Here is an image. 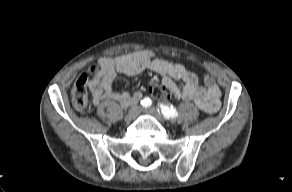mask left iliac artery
I'll return each mask as SVG.
<instances>
[{
	"instance_id": "left-iliac-artery-1",
	"label": "left iliac artery",
	"mask_w": 292,
	"mask_h": 192,
	"mask_svg": "<svg viewBox=\"0 0 292 192\" xmlns=\"http://www.w3.org/2000/svg\"><path fill=\"white\" fill-rule=\"evenodd\" d=\"M160 109L164 117L167 119H173L178 116V112L173 106L161 104Z\"/></svg>"
}]
</instances>
